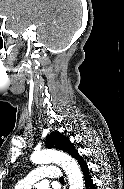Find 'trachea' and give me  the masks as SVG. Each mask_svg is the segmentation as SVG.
<instances>
[{"mask_svg": "<svg viewBox=\"0 0 124 189\" xmlns=\"http://www.w3.org/2000/svg\"><path fill=\"white\" fill-rule=\"evenodd\" d=\"M59 181L64 182V178H63V177H60V178H59Z\"/></svg>", "mask_w": 124, "mask_h": 189, "instance_id": "1", "label": "trachea"}]
</instances>
